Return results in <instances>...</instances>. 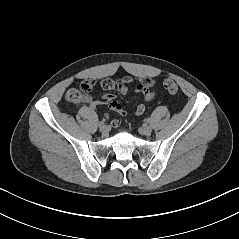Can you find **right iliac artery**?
<instances>
[{"label": "right iliac artery", "mask_w": 239, "mask_h": 239, "mask_svg": "<svg viewBox=\"0 0 239 239\" xmlns=\"http://www.w3.org/2000/svg\"><path fill=\"white\" fill-rule=\"evenodd\" d=\"M102 125H104V121H100V122L98 123V126H99V127H101Z\"/></svg>", "instance_id": "right-iliac-artery-1"}]
</instances>
